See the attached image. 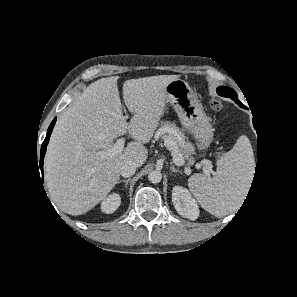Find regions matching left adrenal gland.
Wrapping results in <instances>:
<instances>
[{
	"instance_id": "1",
	"label": "left adrenal gland",
	"mask_w": 297,
	"mask_h": 297,
	"mask_svg": "<svg viewBox=\"0 0 297 297\" xmlns=\"http://www.w3.org/2000/svg\"><path fill=\"white\" fill-rule=\"evenodd\" d=\"M170 170H171V172H181L178 168H175L173 163H171Z\"/></svg>"
}]
</instances>
